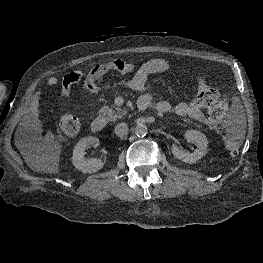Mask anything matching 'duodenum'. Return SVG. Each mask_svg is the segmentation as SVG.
Here are the masks:
<instances>
[{
    "label": "duodenum",
    "instance_id": "410a0bca",
    "mask_svg": "<svg viewBox=\"0 0 263 263\" xmlns=\"http://www.w3.org/2000/svg\"><path fill=\"white\" fill-rule=\"evenodd\" d=\"M147 108V106L143 103H138V109L140 111H144ZM91 130L94 133H100L103 131L104 127H105V122L102 118L100 117H96L92 120L91 122Z\"/></svg>",
    "mask_w": 263,
    "mask_h": 263
}]
</instances>
